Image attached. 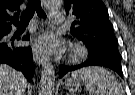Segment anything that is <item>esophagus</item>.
<instances>
[{
  "label": "esophagus",
  "mask_w": 135,
  "mask_h": 95,
  "mask_svg": "<svg viewBox=\"0 0 135 95\" xmlns=\"http://www.w3.org/2000/svg\"><path fill=\"white\" fill-rule=\"evenodd\" d=\"M33 59L36 64L44 66L47 61V57L45 54L39 53L34 47H33Z\"/></svg>",
  "instance_id": "34e87169"
}]
</instances>
